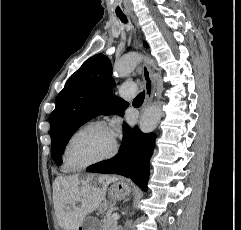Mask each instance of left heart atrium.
Wrapping results in <instances>:
<instances>
[{
  "label": "left heart atrium",
  "mask_w": 241,
  "mask_h": 230,
  "mask_svg": "<svg viewBox=\"0 0 241 230\" xmlns=\"http://www.w3.org/2000/svg\"><path fill=\"white\" fill-rule=\"evenodd\" d=\"M120 129H121L120 121L118 119H114L111 123V128L109 129L114 138L118 136Z\"/></svg>",
  "instance_id": "1"
}]
</instances>
